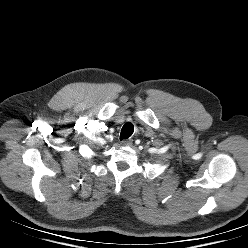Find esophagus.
I'll return each instance as SVG.
<instances>
[{
	"label": "esophagus",
	"instance_id": "34e87169",
	"mask_svg": "<svg viewBox=\"0 0 248 248\" xmlns=\"http://www.w3.org/2000/svg\"><path fill=\"white\" fill-rule=\"evenodd\" d=\"M132 140L131 139H129V140H125V141H123L122 142V144L124 145V146H131L132 145Z\"/></svg>",
	"mask_w": 248,
	"mask_h": 248
}]
</instances>
